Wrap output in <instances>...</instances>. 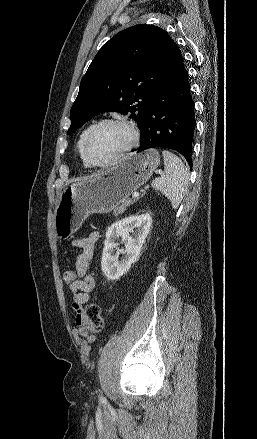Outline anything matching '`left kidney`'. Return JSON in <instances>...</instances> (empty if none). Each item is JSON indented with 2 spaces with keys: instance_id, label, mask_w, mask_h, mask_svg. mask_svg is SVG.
Wrapping results in <instances>:
<instances>
[{
  "instance_id": "1",
  "label": "left kidney",
  "mask_w": 257,
  "mask_h": 439,
  "mask_svg": "<svg viewBox=\"0 0 257 439\" xmlns=\"http://www.w3.org/2000/svg\"><path fill=\"white\" fill-rule=\"evenodd\" d=\"M151 225L152 218L150 214L146 213L121 219L108 228L101 258V270L107 279H119L139 259L141 248L150 232ZM135 228H137L136 231H134ZM131 232L133 236H130ZM119 238L125 245V257L121 261H118L117 255L114 256V251L119 245L116 241Z\"/></svg>"
}]
</instances>
